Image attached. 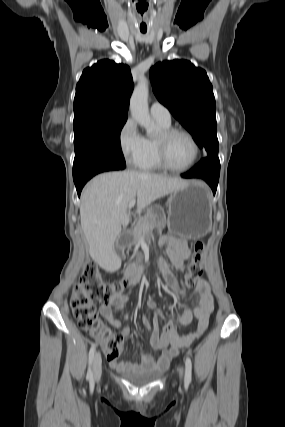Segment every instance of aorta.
<instances>
[{"label":"aorta","mask_w":285,"mask_h":427,"mask_svg":"<svg viewBox=\"0 0 285 427\" xmlns=\"http://www.w3.org/2000/svg\"><path fill=\"white\" fill-rule=\"evenodd\" d=\"M149 83L146 78H140L130 98V112L138 124L145 128L148 135L157 130V126L150 117L148 107Z\"/></svg>","instance_id":"1"}]
</instances>
